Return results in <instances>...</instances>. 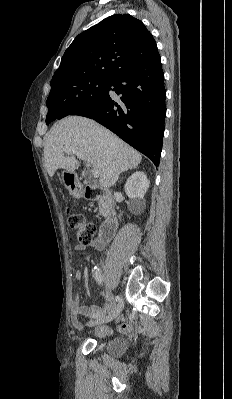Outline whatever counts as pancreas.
<instances>
[{
    "label": "pancreas",
    "instance_id": "1",
    "mask_svg": "<svg viewBox=\"0 0 232 399\" xmlns=\"http://www.w3.org/2000/svg\"><path fill=\"white\" fill-rule=\"evenodd\" d=\"M99 215H105L104 207L101 205V201H99Z\"/></svg>",
    "mask_w": 232,
    "mask_h": 399
}]
</instances>
